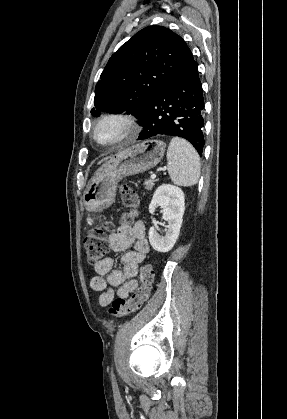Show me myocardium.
<instances>
[{
	"instance_id": "myocardium-1",
	"label": "myocardium",
	"mask_w": 287,
	"mask_h": 419,
	"mask_svg": "<svg viewBox=\"0 0 287 419\" xmlns=\"http://www.w3.org/2000/svg\"><path fill=\"white\" fill-rule=\"evenodd\" d=\"M113 122L120 124L125 129V133L122 134L119 138L111 141V142H101L98 140L96 133L100 126H102L105 123ZM139 133V125L134 117L131 115L125 114V113H108L103 116H101L93 125L91 136L92 139L96 144H98L101 147L110 148L119 146L121 144H124L134 137L137 136Z\"/></svg>"
}]
</instances>
